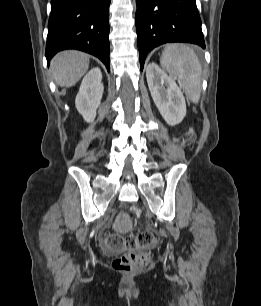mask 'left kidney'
Masks as SVG:
<instances>
[{
	"label": "left kidney",
	"instance_id": "left-kidney-1",
	"mask_svg": "<svg viewBox=\"0 0 261 306\" xmlns=\"http://www.w3.org/2000/svg\"><path fill=\"white\" fill-rule=\"evenodd\" d=\"M146 78L151 96L168 125L182 122L186 115V103L181 89L155 63L148 64Z\"/></svg>",
	"mask_w": 261,
	"mask_h": 306
}]
</instances>
